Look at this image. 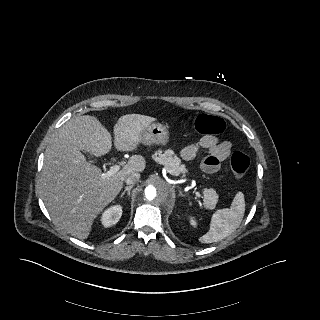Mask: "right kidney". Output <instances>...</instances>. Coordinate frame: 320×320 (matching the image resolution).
Returning a JSON list of instances; mask_svg holds the SVG:
<instances>
[{"instance_id":"1","label":"right kidney","mask_w":320,"mask_h":320,"mask_svg":"<svg viewBox=\"0 0 320 320\" xmlns=\"http://www.w3.org/2000/svg\"><path fill=\"white\" fill-rule=\"evenodd\" d=\"M122 215V207L121 205H114L109 207L101 217V222L104 227H110L116 224Z\"/></svg>"}]
</instances>
